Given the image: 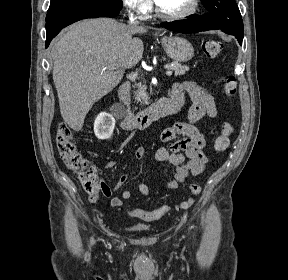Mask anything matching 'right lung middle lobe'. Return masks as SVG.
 Wrapping results in <instances>:
<instances>
[{
	"label": "right lung middle lobe",
	"mask_w": 288,
	"mask_h": 280,
	"mask_svg": "<svg viewBox=\"0 0 288 280\" xmlns=\"http://www.w3.org/2000/svg\"><path fill=\"white\" fill-rule=\"evenodd\" d=\"M65 1H68V0H51L50 7L57 5L59 3H62V2H65ZM97 1L108 4L114 8H118V9L122 8V0H97Z\"/></svg>",
	"instance_id": "dd1d6c3e"
}]
</instances>
